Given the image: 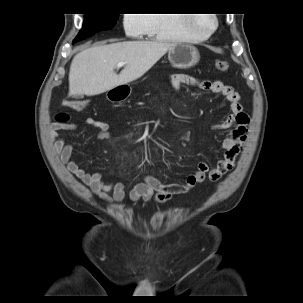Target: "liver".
Listing matches in <instances>:
<instances>
[{"instance_id":"obj_1","label":"liver","mask_w":303,"mask_h":303,"mask_svg":"<svg viewBox=\"0 0 303 303\" xmlns=\"http://www.w3.org/2000/svg\"><path fill=\"white\" fill-rule=\"evenodd\" d=\"M175 43L124 41L101 44L78 53L69 71V96H94L143 76ZM125 63L120 74L118 63Z\"/></svg>"}]
</instances>
